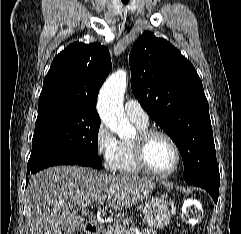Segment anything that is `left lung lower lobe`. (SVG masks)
I'll list each match as a JSON object with an SVG mask.
<instances>
[{"mask_svg": "<svg viewBox=\"0 0 241 234\" xmlns=\"http://www.w3.org/2000/svg\"><path fill=\"white\" fill-rule=\"evenodd\" d=\"M185 182L189 185H194L198 187H202L207 190L212 196L213 200L217 203L219 196V185L220 181H212L206 178H198L194 180H185Z\"/></svg>", "mask_w": 241, "mask_h": 234, "instance_id": "obj_1", "label": "left lung lower lobe"}]
</instances>
